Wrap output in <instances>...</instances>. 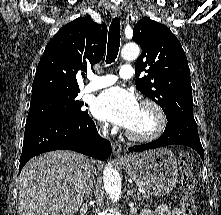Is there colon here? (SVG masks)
<instances>
[{"label":"colon","instance_id":"colon-1","mask_svg":"<svg viewBox=\"0 0 221 215\" xmlns=\"http://www.w3.org/2000/svg\"><path fill=\"white\" fill-rule=\"evenodd\" d=\"M181 182L180 187L184 194L181 206L184 215H197L193 201V193L195 190V178L192 169V156L185 153L180 158Z\"/></svg>","mask_w":221,"mask_h":215}]
</instances>
